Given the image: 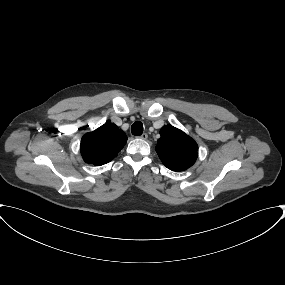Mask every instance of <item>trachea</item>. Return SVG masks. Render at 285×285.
Here are the masks:
<instances>
[{
    "mask_svg": "<svg viewBox=\"0 0 285 285\" xmlns=\"http://www.w3.org/2000/svg\"><path fill=\"white\" fill-rule=\"evenodd\" d=\"M131 132L135 136H140L143 133V124L140 121H136L131 126Z\"/></svg>",
    "mask_w": 285,
    "mask_h": 285,
    "instance_id": "1",
    "label": "trachea"
}]
</instances>
